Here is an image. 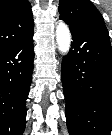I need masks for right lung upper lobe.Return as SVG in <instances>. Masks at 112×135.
I'll return each instance as SVG.
<instances>
[{"mask_svg": "<svg viewBox=\"0 0 112 135\" xmlns=\"http://www.w3.org/2000/svg\"><path fill=\"white\" fill-rule=\"evenodd\" d=\"M34 29L28 0L0 1V52L15 45Z\"/></svg>", "mask_w": 112, "mask_h": 135, "instance_id": "obj_1", "label": "right lung upper lobe"}]
</instances>
